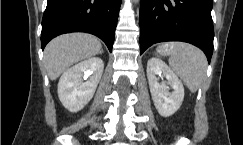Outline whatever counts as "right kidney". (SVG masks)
Returning <instances> with one entry per match:
<instances>
[{
  "instance_id": "1",
  "label": "right kidney",
  "mask_w": 243,
  "mask_h": 145,
  "mask_svg": "<svg viewBox=\"0 0 243 145\" xmlns=\"http://www.w3.org/2000/svg\"><path fill=\"white\" fill-rule=\"evenodd\" d=\"M103 69L102 59L92 57L63 73L58 83V96L67 110L77 112L91 100L101 79ZM83 79L88 80L84 82Z\"/></svg>"
}]
</instances>
